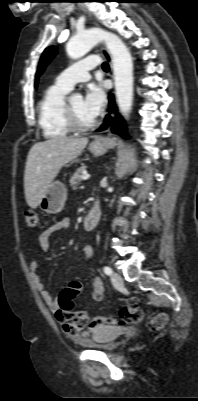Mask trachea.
Instances as JSON below:
<instances>
[{
  "label": "trachea",
  "instance_id": "obj_1",
  "mask_svg": "<svg viewBox=\"0 0 198 401\" xmlns=\"http://www.w3.org/2000/svg\"><path fill=\"white\" fill-rule=\"evenodd\" d=\"M102 68H103V70L108 71V70H109V65H108V63H107V62H104V63L102 64Z\"/></svg>",
  "mask_w": 198,
  "mask_h": 401
}]
</instances>
